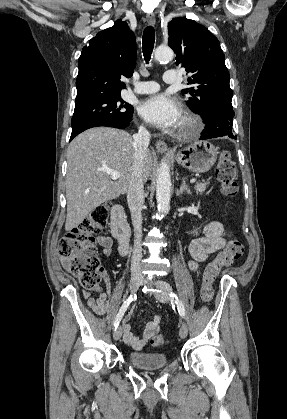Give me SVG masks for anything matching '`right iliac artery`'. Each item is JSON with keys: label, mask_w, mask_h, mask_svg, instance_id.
<instances>
[{"label": "right iliac artery", "mask_w": 287, "mask_h": 419, "mask_svg": "<svg viewBox=\"0 0 287 419\" xmlns=\"http://www.w3.org/2000/svg\"><path fill=\"white\" fill-rule=\"evenodd\" d=\"M136 298V294H132V295H130L125 301H124V303L122 304V306H121V308H120V310H119V312H118V314H117V316H116V319H115V321H114V328H115V330H116V328L118 327V325H119V323H120V321H121V319H122V317H123V315H124V313H125V311L127 310V308L129 307V305H130V303L134 300Z\"/></svg>", "instance_id": "right-iliac-artery-1"}]
</instances>
